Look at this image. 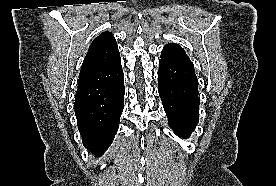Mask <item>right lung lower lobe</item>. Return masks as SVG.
<instances>
[{"label":"right lung lower lobe","instance_id":"obj_1","mask_svg":"<svg viewBox=\"0 0 276 186\" xmlns=\"http://www.w3.org/2000/svg\"><path fill=\"white\" fill-rule=\"evenodd\" d=\"M124 74L114 80L78 87L75 114L83 145L99 157L111 145L124 107Z\"/></svg>","mask_w":276,"mask_h":186}]
</instances>
